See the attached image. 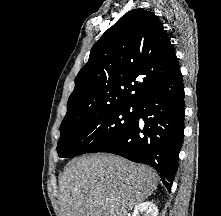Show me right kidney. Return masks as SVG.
<instances>
[{
    "label": "right kidney",
    "instance_id": "1",
    "mask_svg": "<svg viewBox=\"0 0 221 216\" xmlns=\"http://www.w3.org/2000/svg\"><path fill=\"white\" fill-rule=\"evenodd\" d=\"M132 216H158V208L152 202H144L135 207Z\"/></svg>",
    "mask_w": 221,
    "mask_h": 216
}]
</instances>
